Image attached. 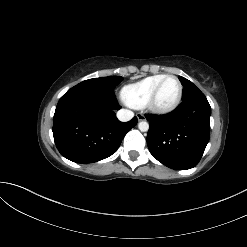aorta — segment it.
<instances>
[{
  "label": "aorta",
  "mask_w": 247,
  "mask_h": 247,
  "mask_svg": "<svg viewBox=\"0 0 247 247\" xmlns=\"http://www.w3.org/2000/svg\"><path fill=\"white\" fill-rule=\"evenodd\" d=\"M138 128L141 132H146L149 129V124L146 121H141L138 124Z\"/></svg>",
  "instance_id": "762f6f07"
}]
</instances>
